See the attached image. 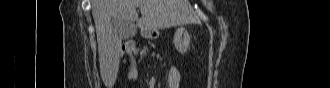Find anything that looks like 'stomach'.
Wrapping results in <instances>:
<instances>
[{
	"label": "stomach",
	"mask_w": 330,
	"mask_h": 88,
	"mask_svg": "<svg viewBox=\"0 0 330 88\" xmlns=\"http://www.w3.org/2000/svg\"><path fill=\"white\" fill-rule=\"evenodd\" d=\"M154 31H150L147 34L148 38H153ZM191 37L187 30L179 28L174 35V44L180 53H186L190 47Z\"/></svg>",
	"instance_id": "stomach-1"
}]
</instances>
